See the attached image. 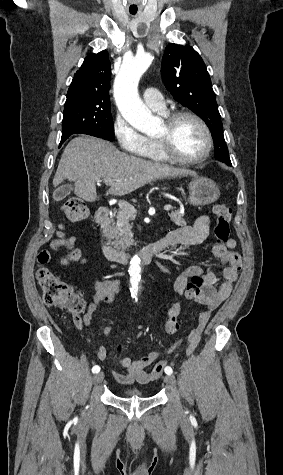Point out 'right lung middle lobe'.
<instances>
[{
  "label": "right lung middle lobe",
  "instance_id": "obj_1",
  "mask_svg": "<svg viewBox=\"0 0 283 475\" xmlns=\"http://www.w3.org/2000/svg\"><path fill=\"white\" fill-rule=\"evenodd\" d=\"M110 111V101L67 98L63 113L62 135L82 133L114 141L113 119Z\"/></svg>",
  "mask_w": 283,
  "mask_h": 475
}]
</instances>
